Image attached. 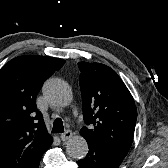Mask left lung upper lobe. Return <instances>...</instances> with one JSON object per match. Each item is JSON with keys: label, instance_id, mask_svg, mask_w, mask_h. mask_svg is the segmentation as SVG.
<instances>
[{"label": "left lung upper lobe", "instance_id": "5c2ea615", "mask_svg": "<svg viewBox=\"0 0 168 168\" xmlns=\"http://www.w3.org/2000/svg\"><path fill=\"white\" fill-rule=\"evenodd\" d=\"M83 118L81 136L126 156L134 136L137 109L129 90L110 67L100 63H78Z\"/></svg>", "mask_w": 168, "mask_h": 168}]
</instances>
